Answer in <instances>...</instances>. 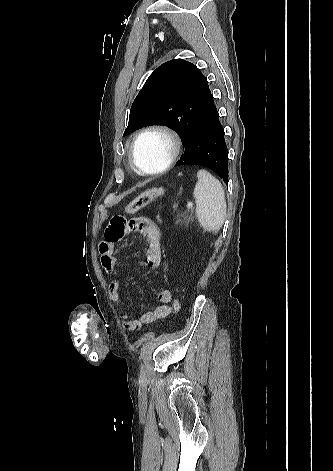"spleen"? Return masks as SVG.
<instances>
[{"mask_svg": "<svg viewBox=\"0 0 333 471\" xmlns=\"http://www.w3.org/2000/svg\"><path fill=\"white\" fill-rule=\"evenodd\" d=\"M197 177L193 192L197 219L205 231L218 232L224 224L227 208L222 184L205 169H200Z\"/></svg>", "mask_w": 333, "mask_h": 471, "instance_id": "3e777b00", "label": "spleen"}]
</instances>
